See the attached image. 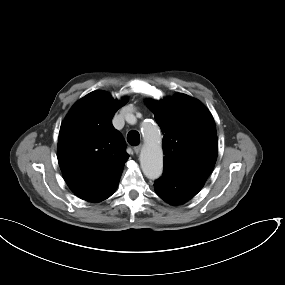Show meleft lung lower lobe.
I'll use <instances>...</instances> for the list:
<instances>
[{
    "mask_svg": "<svg viewBox=\"0 0 285 285\" xmlns=\"http://www.w3.org/2000/svg\"><path fill=\"white\" fill-rule=\"evenodd\" d=\"M204 183L164 170L162 177L154 183L156 194L171 205H180L193 198Z\"/></svg>",
    "mask_w": 285,
    "mask_h": 285,
    "instance_id": "1",
    "label": "left lung lower lobe"
}]
</instances>
